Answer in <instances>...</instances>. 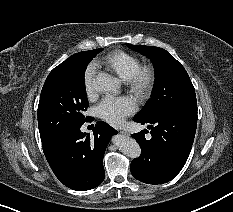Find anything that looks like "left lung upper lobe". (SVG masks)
<instances>
[{
  "mask_svg": "<svg viewBox=\"0 0 233 212\" xmlns=\"http://www.w3.org/2000/svg\"><path fill=\"white\" fill-rule=\"evenodd\" d=\"M127 46L150 58L155 70V84L151 99L135 116L136 118L150 117L167 110L197 114L194 87L179 61L159 47L131 44Z\"/></svg>",
  "mask_w": 233,
  "mask_h": 212,
  "instance_id": "1",
  "label": "left lung upper lobe"
}]
</instances>
